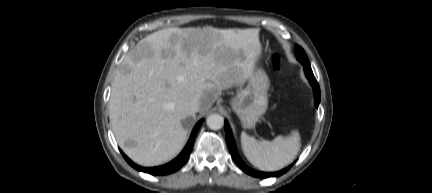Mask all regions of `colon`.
Returning a JSON list of instances; mask_svg holds the SVG:
<instances>
[{"label": "colon", "mask_w": 432, "mask_h": 193, "mask_svg": "<svg viewBox=\"0 0 432 193\" xmlns=\"http://www.w3.org/2000/svg\"><path fill=\"white\" fill-rule=\"evenodd\" d=\"M272 62H273V66H274L276 69H278V70L281 69V66H282V59H281V57H280L279 55H274Z\"/></svg>", "instance_id": "colon-1"}]
</instances>
